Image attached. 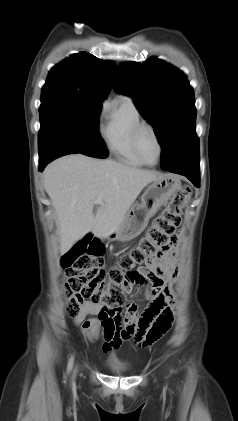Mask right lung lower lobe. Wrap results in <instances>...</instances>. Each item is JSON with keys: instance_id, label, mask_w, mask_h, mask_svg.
Instances as JSON below:
<instances>
[{"instance_id": "1", "label": "right lung lower lobe", "mask_w": 238, "mask_h": 421, "mask_svg": "<svg viewBox=\"0 0 238 421\" xmlns=\"http://www.w3.org/2000/svg\"><path fill=\"white\" fill-rule=\"evenodd\" d=\"M73 153L79 152L66 144L56 142L48 145L43 151L39 152V171H42L52 160L60 156Z\"/></svg>"}]
</instances>
